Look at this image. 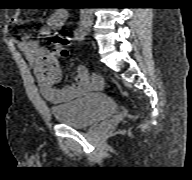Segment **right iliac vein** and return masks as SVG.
<instances>
[{"instance_id": "obj_1", "label": "right iliac vein", "mask_w": 192, "mask_h": 180, "mask_svg": "<svg viewBox=\"0 0 192 180\" xmlns=\"http://www.w3.org/2000/svg\"><path fill=\"white\" fill-rule=\"evenodd\" d=\"M81 28L85 33L91 32V23L89 21H82Z\"/></svg>"}]
</instances>
